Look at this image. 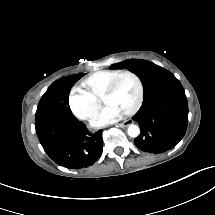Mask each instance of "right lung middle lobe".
<instances>
[{
	"mask_svg": "<svg viewBox=\"0 0 215 215\" xmlns=\"http://www.w3.org/2000/svg\"><path fill=\"white\" fill-rule=\"evenodd\" d=\"M83 76L78 74L63 78L48 88L42 96L36 111L35 124L52 121H77L69 108L71 87Z\"/></svg>",
	"mask_w": 215,
	"mask_h": 215,
	"instance_id": "right-lung-middle-lobe-1",
	"label": "right lung middle lobe"
}]
</instances>
